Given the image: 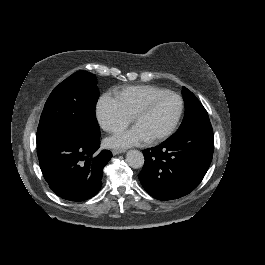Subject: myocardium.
<instances>
[{
	"label": "myocardium",
	"instance_id": "myocardium-1",
	"mask_svg": "<svg viewBox=\"0 0 265 265\" xmlns=\"http://www.w3.org/2000/svg\"><path fill=\"white\" fill-rule=\"evenodd\" d=\"M159 95H171L173 97H176L179 101V109L177 112V115L175 119L166 127L164 128L161 132H159L157 135L149 138L150 143H156L167 136H169L173 130L176 128L178 123L181 120V117L183 115V110H184V100L182 96L174 91L168 90V89H159L152 94H150L138 107V109L135 111L133 114V121L136 116L139 114L143 113L149 106L150 104L159 96Z\"/></svg>",
	"mask_w": 265,
	"mask_h": 265
}]
</instances>
